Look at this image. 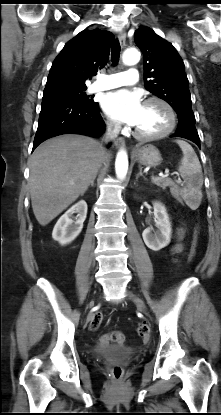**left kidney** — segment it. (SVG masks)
<instances>
[{
	"label": "left kidney",
	"instance_id": "1",
	"mask_svg": "<svg viewBox=\"0 0 221 415\" xmlns=\"http://www.w3.org/2000/svg\"><path fill=\"white\" fill-rule=\"evenodd\" d=\"M153 208L157 230L152 233V227L146 228L142 233V237L149 249L159 251L170 243L171 223L166 208L162 203L153 202Z\"/></svg>",
	"mask_w": 221,
	"mask_h": 415
}]
</instances>
